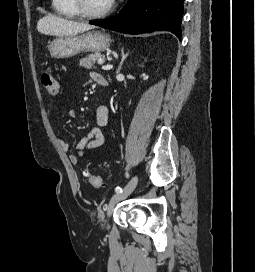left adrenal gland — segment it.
Returning <instances> with one entry per match:
<instances>
[{"label":"left adrenal gland","mask_w":255,"mask_h":272,"mask_svg":"<svg viewBox=\"0 0 255 272\" xmlns=\"http://www.w3.org/2000/svg\"><path fill=\"white\" fill-rule=\"evenodd\" d=\"M121 62L119 64V67L117 69V73L120 72L121 68H122V65H123V62L125 61V59L128 57V53H125L124 52V48L121 49Z\"/></svg>","instance_id":"obj_1"}]
</instances>
